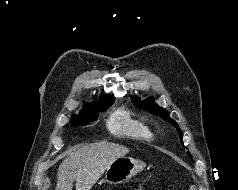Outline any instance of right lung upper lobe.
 <instances>
[{"mask_svg":"<svg viewBox=\"0 0 238 190\" xmlns=\"http://www.w3.org/2000/svg\"><path fill=\"white\" fill-rule=\"evenodd\" d=\"M89 104V103H88ZM88 104H86L85 106H84V108L86 107V106H88Z\"/></svg>","mask_w":238,"mask_h":190,"instance_id":"cb5924a9","label":"right lung upper lobe"}]
</instances>
